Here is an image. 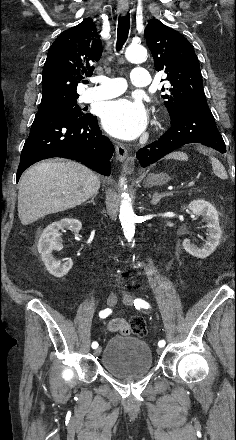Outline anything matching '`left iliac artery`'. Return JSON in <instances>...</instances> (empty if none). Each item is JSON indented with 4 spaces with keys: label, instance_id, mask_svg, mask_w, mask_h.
Here are the masks:
<instances>
[{
    "label": "left iliac artery",
    "instance_id": "left-iliac-artery-1",
    "mask_svg": "<svg viewBox=\"0 0 236 440\" xmlns=\"http://www.w3.org/2000/svg\"><path fill=\"white\" fill-rule=\"evenodd\" d=\"M134 306L136 307V309H140V308L148 309L150 307L148 302H146L145 300L139 299V298L134 300ZM165 344H166V342L164 340H160L158 342L159 347H164Z\"/></svg>",
    "mask_w": 236,
    "mask_h": 440
}]
</instances>
